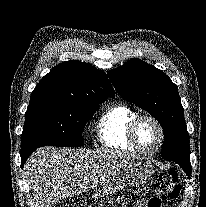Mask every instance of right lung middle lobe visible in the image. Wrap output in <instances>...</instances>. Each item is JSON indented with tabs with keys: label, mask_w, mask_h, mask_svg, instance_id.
<instances>
[{
	"label": "right lung middle lobe",
	"mask_w": 206,
	"mask_h": 207,
	"mask_svg": "<svg viewBox=\"0 0 206 207\" xmlns=\"http://www.w3.org/2000/svg\"><path fill=\"white\" fill-rule=\"evenodd\" d=\"M99 104H79L58 100L30 102L21 137V153H32L44 145L80 147L86 121Z\"/></svg>",
	"instance_id": "obj_1"
}]
</instances>
